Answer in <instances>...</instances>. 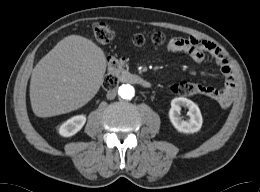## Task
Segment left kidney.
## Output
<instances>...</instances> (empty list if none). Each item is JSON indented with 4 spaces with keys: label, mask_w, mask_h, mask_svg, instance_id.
<instances>
[{
    "label": "left kidney",
    "mask_w": 260,
    "mask_h": 192,
    "mask_svg": "<svg viewBox=\"0 0 260 192\" xmlns=\"http://www.w3.org/2000/svg\"><path fill=\"white\" fill-rule=\"evenodd\" d=\"M181 107L188 108V120L180 116ZM169 119L175 129L183 133H195L201 129L203 120L199 107L191 100L184 97H176L171 101Z\"/></svg>",
    "instance_id": "1"
}]
</instances>
